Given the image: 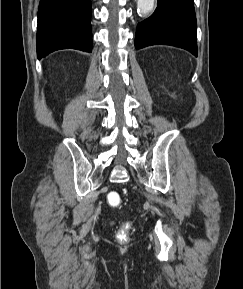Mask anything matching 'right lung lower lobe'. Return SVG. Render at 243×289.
Here are the masks:
<instances>
[{
    "label": "right lung lower lobe",
    "instance_id": "right-lung-lower-lobe-1",
    "mask_svg": "<svg viewBox=\"0 0 243 289\" xmlns=\"http://www.w3.org/2000/svg\"><path fill=\"white\" fill-rule=\"evenodd\" d=\"M90 0H40L38 58L60 49L91 52Z\"/></svg>",
    "mask_w": 243,
    "mask_h": 289
}]
</instances>
